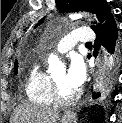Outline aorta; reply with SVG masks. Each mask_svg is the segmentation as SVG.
<instances>
[{"label": "aorta", "mask_w": 122, "mask_h": 123, "mask_svg": "<svg viewBox=\"0 0 122 123\" xmlns=\"http://www.w3.org/2000/svg\"><path fill=\"white\" fill-rule=\"evenodd\" d=\"M87 14H85L86 16ZM83 16V14L79 13V14H72L69 16V18L71 20H76V19H79ZM48 64H49V71L52 72L54 70H56L57 68H60L62 67V63L61 61L59 60V58L54 55V54H51L48 58Z\"/></svg>", "instance_id": "1"}]
</instances>
